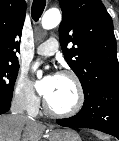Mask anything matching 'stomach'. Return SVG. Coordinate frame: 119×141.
I'll list each match as a JSON object with an SVG mask.
<instances>
[{
  "label": "stomach",
  "mask_w": 119,
  "mask_h": 141,
  "mask_svg": "<svg viewBox=\"0 0 119 141\" xmlns=\"http://www.w3.org/2000/svg\"><path fill=\"white\" fill-rule=\"evenodd\" d=\"M50 141H81V138L76 131L66 129L52 132Z\"/></svg>",
  "instance_id": "0dacf381"
}]
</instances>
